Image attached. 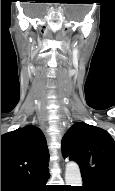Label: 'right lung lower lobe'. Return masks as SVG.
Returning <instances> with one entry per match:
<instances>
[{
    "instance_id": "obj_1",
    "label": "right lung lower lobe",
    "mask_w": 115,
    "mask_h": 191,
    "mask_svg": "<svg viewBox=\"0 0 115 191\" xmlns=\"http://www.w3.org/2000/svg\"><path fill=\"white\" fill-rule=\"evenodd\" d=\"M49 174L20 183H1V191H48L46 184Z\"/></svg>"
}]
</instances>
